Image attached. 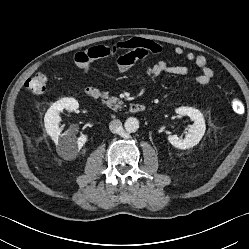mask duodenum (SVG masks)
Returning <instances> with one entry per match:
<instances>
[{
    "instance_id": "duodenum-1",
    "label": "duodenum",
    "mask_w": 249,
    "mask_h": 249,
    "mask_svg": "<svg viewBox=\"0 0 249 249\" xmlns=\"http://www.w3.org/2000/svg\"><path fill=\"white\" fill-rule=\"evenodd\" d=\"M85 93L88 97H90L93 100H100L102 93L100 91V89L96 88V87H88L85 90ZM129 110L131 113H142L146 110V105L144 103H132L129 107Z\"/></svg>"
}]
</instances>
